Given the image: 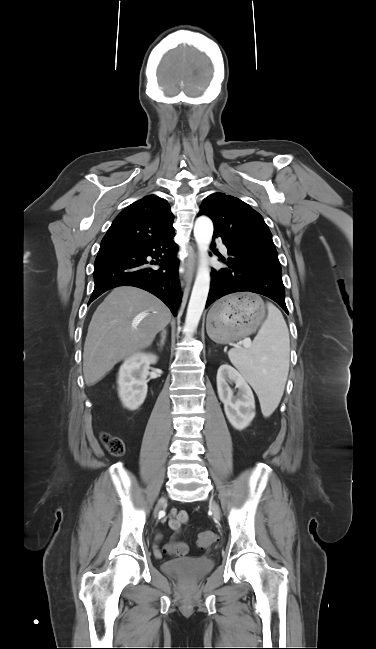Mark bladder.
Here are the masks:
<instances>
[{"label": "bladder", "mask_w": 376, "mask_h": 649, "mask_svg": "<svg viewBox=\"0 0 376 649\" xmlns=\"http://www.w3.org/2000/svg\"><path fill=\"white\" fill-rule=\"evenodd\" d=\"M214 566L210 558H180L166 561L162 564L163 572L182 577L187 580H198L207 574Z\"/></svg>", "instance_id": "bladder-1"}]
</instances>
